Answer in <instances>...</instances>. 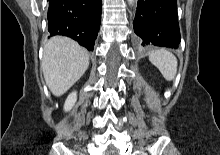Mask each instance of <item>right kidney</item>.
Returning a JSON list of instances; mask_svg holds the SVG:
<instances>
[{
  "instance_id": "right-kidney-1",
  "label": "right kidney",
  "mask_w": 220,
  "mask_h": 155,
  "mask_svg": "<svg viewBox=\"0 0 220 155\" xmlns=\"http://www.w3.org/2000/svg\"><path fill=\"white\" fill-rule=\"evenodd\" d=\"M76 100H77V93L74 91L68 95V97L65 101V104H64V110L65 111L71 110L72 107L74 106Z\"/></svg>"
}]
</instances>
